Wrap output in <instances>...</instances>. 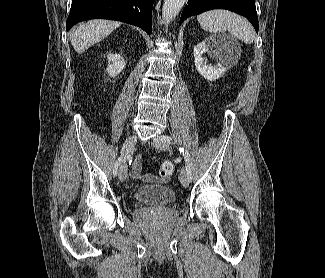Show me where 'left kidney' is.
<instances>
[{"label":"left kidney","instance_id":"left-kidney-1","mask_svg":"<svg viewBox=\"0 0 325 278\" xmlns=\"http://www.w3.org/2000/svg\"><path fill=\"white\" fill-rule=\"evenodd\" d=\"M205 53L216 59L217 65H207V60L203 57ZM194 59L200 75L209 81H214L224 75L229 65L236 63L238 55L224 37L210 36L194 47Z\"/></svg>","mask_w":325,"mask_h":278}]
</instances>
